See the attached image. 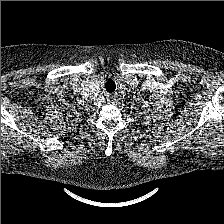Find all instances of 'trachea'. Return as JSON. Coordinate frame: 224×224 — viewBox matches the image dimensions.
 <instances>
[{
    "label": "trachea",
    "instance_id": "3493384b",
    "mask_svg": "<svg viewBox=\"0 0 224 224\" xmlns=\"http://www.w3.org/2000/svg\"><path fill=\"white\" fill-rule=\"evenodd\" d=\"M105 88L108 93H112L116 89V84L113 80L110 79L106 82Z\"/></svg>",
    "mask_w": 224,
    "mask_h": 224
}]
</instances>
